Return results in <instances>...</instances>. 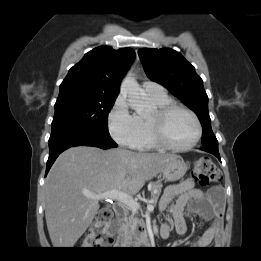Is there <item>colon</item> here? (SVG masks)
<instances>
[{
	"label": "colon",
	"instance_id": "5ec220e1",
	"mask_svg": "<svg viewBox=\"0 0 261 261\" xmlns=\"http://www.w3.org/2000/svg\"><path fill=\"white\" fill-rule=\"evenodd\" d=\"M193 178L201 185H208L221 179V172L208 157H200L195 161ZM113 218L109 207L103 208L97 215L96 221L81 241L83 249H92L105 238L107 225Z\"/></svg>",
	"mask_w": 261,
	"mask_h": 261
}]
</instances>
